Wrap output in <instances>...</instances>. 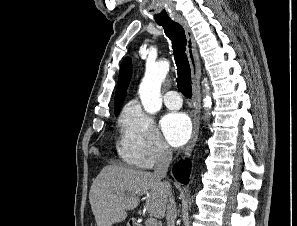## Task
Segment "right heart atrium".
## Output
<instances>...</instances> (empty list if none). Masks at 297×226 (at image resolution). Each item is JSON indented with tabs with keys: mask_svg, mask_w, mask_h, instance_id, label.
<instances>
[{
	"mask_svg": "<svg viewBox=\"0 0 297 226\" xmlns=\"http://www.w3.org/2000/svg\"><path fill=\"white\" fill-rule=\"evenodd\" d=\"M121 157L130 165L151 169L171 158L172 151L161 136L152 116L136 103L124 110L121 121Z\"/></svg>",
	"mask_w": 297,
	"mask_h": 226,
	"instance_id": "d8ad5b80",
	"label": "right heart atrium"
}]
</instances>
